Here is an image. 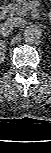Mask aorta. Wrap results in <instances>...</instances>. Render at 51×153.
<instances>
[{
  "mask_svg": "<svg viewBox=\"0 0 51 153\" xmlns=\"http://www.w3.org/2000/svg\"><path fill=\"white\" fill-rule=\"evenodd\" d=\"M42 37V30L38 25H29L26 27L23 33V39L27 43H37Z\"/></svg>",
  "mask_w": 51,
  "mask_h": 153,
  "instance_id": "762f6f07",
  "label": "aorta"
}]
</instances>
